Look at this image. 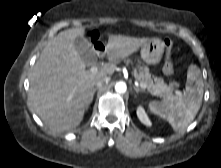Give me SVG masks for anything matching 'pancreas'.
Instances as JSON below:
<instances>
[{"label": "pancreas", "instance_id": "pancreas-1", "mask_svg": "<svg viewBox=\"0 0 221 168\" xmlns=\"http://www.w3.org/2000/svg\"><path fill=\"white\" fill-rule=\"evenodd\" d=\"M130 61L127 60V63ZM134 77L138 82H143L147 85V90L154 96L166 98L172 95L174 85H167L163 78L151 77L147 67L140 68L139 72L134 69Z\"/></svg>", "mask_w": 221, "mask_h": 168}]
</instances>
